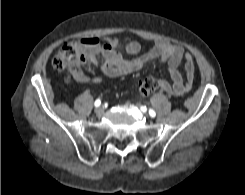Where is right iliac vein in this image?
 <instances>
[{
  "mask_svg": "<svg viewBox=\"0 0 245 195\" xmlns=\"http://www.w3.org/2000/svg\"><path fill=\"white\" fill-rule=\"evenodd\" d=\"M95 113L98 115V116H102L103 113H104V108L103 107H98L95 109Z\"/></svg>",
  "mask_w": 245,
  "mask_h": 195,
  "instance_id": "obj_1",
  "label": "right iliac vein"
}]
</instances>
